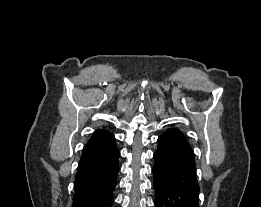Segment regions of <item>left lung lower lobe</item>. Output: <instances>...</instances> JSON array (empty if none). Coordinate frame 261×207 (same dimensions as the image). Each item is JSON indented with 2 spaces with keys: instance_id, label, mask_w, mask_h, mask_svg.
I'll list each match as a JSON object with an SVG mask.
<instances>
[{
  "instance_id": "left-lung-lower-lobe-1",
  "label": "left lung lower lobe",
  "mask_w": 261,
  "mask_h": 207,
  "mask_svg": "<svg viewBox=\"0 0 261 207\" xmlns=\"http://www.w3.org/2000/svg\"><path fill=\"white\" fill-rule=\"evenodd\" d=\"M154 153V189L156 207H199V185L194 151L177 128L166 130L158 138Z\"/></svg>"
}]
</instances>
